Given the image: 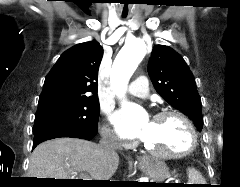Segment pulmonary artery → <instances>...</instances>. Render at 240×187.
Returning <instances> with one entry per match:
<instances>
[{
  "mask_svg": "<svg viewBox=\"0 0 240 187\" xmlns=\"http://www.w3.org/2000/svg\"><path fill=\"white\" fill-rule=\"evenodd\" d=\"M128 93L135 97L146 98L149 95L148 79L140 76L128 86Z\"/></svg>",
  "mask_w": 240,
  "mask_h": 187,
  "instance_id": "pulmonary-artery-1",
  "label": "pulmonary artery"
}]
</instances>
